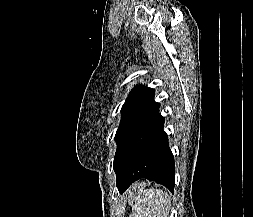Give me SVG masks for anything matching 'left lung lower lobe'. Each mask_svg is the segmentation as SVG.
Listing matches in <instances>:
<instances>
[{
	"mask_svg": "<svg viewBox=\"0 0 253 217\" xmlns=\"http://www.w3.org/2000/svg\"><path fill=\"white\" fill-rule=\"evenodd\" d=\"M163 126L164 118L159 114L157 103L131 127L119 144L114 170L120 192L143 177L173 192L174 158Z\"/></svg>",
	"mask_w": 253,
	"mask_h": 217,
	"instance_id": "left-lung-lower-lobe-1",
	"label": "left lung lower lobe"
}]
</instances>
